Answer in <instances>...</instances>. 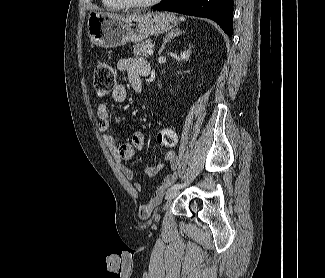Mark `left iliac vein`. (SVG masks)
<instances>
[{
    "label": "left iliac vein",
    "mask_w": 325,
    "mask_h": 278,
    "mask_svg": "<svg viewBox=\"0 0 325 278\" xmlns=\"http://www.w3.org/2000/svg\"><path fill=\"white\" fill-rule=\"evenodd\" d=\"M179 192H180V189L171 188L167 191L165 198L167 200H172L179 194Z\"/></svg>",
    "instance_id": "4c4485c4"
}]
</instances>
